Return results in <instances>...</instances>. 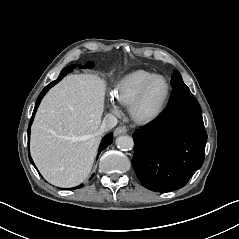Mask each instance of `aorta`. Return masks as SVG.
<instances>
[{"instance_id": "aorta-1", "label": "aorta", "mask_w": 239, "mask_h": 239, "mask_svg": "<svg viewBox=\"0 0 239 239\" xmlns=\"http://www.w3.org/2000/svg\"><path fill=\"white\" fill-rule=\"evenodd\" d=\"M116 145L121 150H131L134 147V141L129 135L120 136L116 140Z\"/></svg>"}]
</instances>
